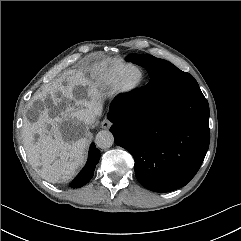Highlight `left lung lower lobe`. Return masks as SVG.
<instances>
[{"label":"left lung lower lobe","mask_w":241,"mask_h":241,"mask_svg":"<svg viewBox=\"0 0 241 241\" xmlns=\"http://www.w3.org/2000/svg\"><path fill=\"white\" fill-rule=\"evenodd\" d=\"M108 119L115 143L135 160V175L147 189L170 192L199 170L210 142L209 105L200 89L174 98L155 74L132 93L118 95Z\"/></svg>","instance_id":"0a47b994"}]
</instances>
